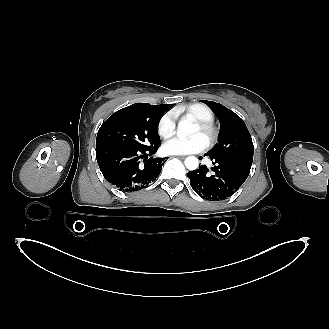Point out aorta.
Instances as JSON below:
<instances>
[{
    "label": "aorta",
    "instance_id": "aorta-1",
    "mask_svg": "<svg viewBox=\"0 0 329 329\" xmlns=\"http://www.w3.org/2000/svg\"><path fill=\"white\" fill-rule=\"evenodd\" d=\"M194 124L189 120H181L178 124V134L180 136H186L193 133L195 130ZM185 166L189 170H196L199 166V160L194 156H189L184 161Z\"/></svg>",
    "mask_w": 329,
    "mask_h": 329
}]
</instances>
